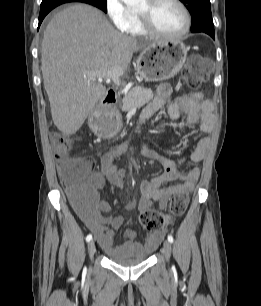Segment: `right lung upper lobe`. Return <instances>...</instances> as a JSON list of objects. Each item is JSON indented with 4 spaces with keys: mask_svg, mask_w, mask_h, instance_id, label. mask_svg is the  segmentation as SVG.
I'll use <instances>...</instances> for the list:
<instances>
[{
    "mask_svg": "<svg viewBox=\"0 0 261 306\" xmlns=\"http://www.w3.org/2000/svg\"><path fill=\"white\" fill-rule=\"evenodd\" d=\"M63 1H67V2H83L84 0H63ZM66 2V3H67ZM84 3V2H83Z\"/></svg>",
    "mask_w": 261,
    "mask_h": 306,
    "instance_id": "1",
    "label": "right lung upper lobe"
}]
</instances>
